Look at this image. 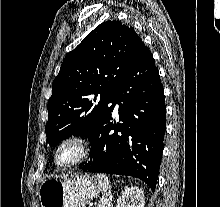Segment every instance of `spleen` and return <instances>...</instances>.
<instances>
[{"label": "spleen", "mask_w": 220, "mask_h": 207, "mask_svg": "<svg viewBox=\"0 0 220 207\" xmlns=\"http://www.w3.org/2000/svg\"><path fill=\"white\" fill-rule=\"evenodd\" d=\"M97 178L102 191V198L98 207H111L112 205V194L111 187L109 185L108 178L103 174H97Z\"/></svg>", "instance_id": "obj_1"}]
</instances>
